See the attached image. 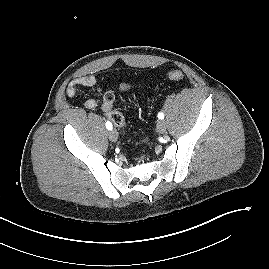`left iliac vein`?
<instances>
[{"label": "left iliac vein", "mask_w": 269, "mask_h": 269, "mask_svg": "<svg viewBox=\"0 0 269 269\" xmlns=\"http://www.w3.org/2000/svg\"><path fill=\"white\" fill-rule=\"evenodd\" d=\"M156 128H157V132L163 134L166 132L167 124L164 120H159Z\"/></svg>", "instance_id": "obj_1"}]
</instances>
